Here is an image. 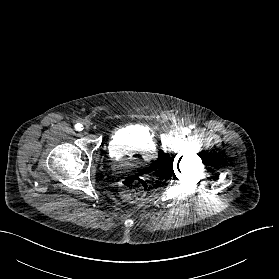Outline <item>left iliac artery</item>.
<instances>
[{
  "mask_svg": "<svg viewBox=\"0 0 279 279\" xmlns=\"http://www.w3.org/2000/svg\"><path fill=\"white\" fill-rule=\"evenodd\" d=\"M193 128V127H191ZM190 133V129L189 128H184V134L185 135H188Z\"/></svg>",
  "mask_w": 279,
  "mask_h": 279,
  "instance_id": "obj_1",
  "label": "left iliac artery"
}]
</instances>
